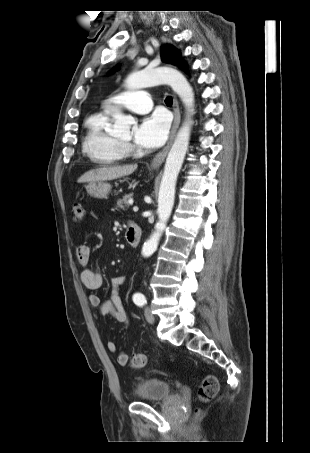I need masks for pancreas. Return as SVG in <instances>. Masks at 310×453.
I'll return each mask as SVG.
<instances>
[{"mask_svg": "<svg viewBox=\"0 0 310 453\" xmlns=\"http://www.w3.org/2000/svg\"><path fill=\"white\" fill-rule=\"evenodd\" d=\"M133 197V194L130 193V194H126L123 199H119L117 201V207L122 209V210H127L129 207H130V204H129V199H132Z\"/></svg>", "mask_w": 310, "mask_h": 453, "instance_id": "cf45deb5", "label": "pancreas"}]
</instances>
